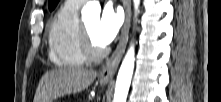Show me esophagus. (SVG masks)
I'll return each instance as SVG.
<instances>
[{
  "instance_id": "34e87169",
  "label": "esophagus",
  "mask_w": 221,
  "mask_h": 102,
  "mask_svg": "<svg viewBox=\"0 0 221 102\" xmlns=\"http://www.w3.org/2000/svg\"><path fill=\"white\" fill-rule=\"evenodd\" d=\"M125 10H126V18L125 23L122 29L121 38L119 44L112 54V56L107 60L105 65L102 67L99 76L102 79H112L115 75L118 65L121 61V58L125 52L126 44L128 41V33L130 28V18H131V2L130 0H125L124 2Z\"/></svg>"
}]
</instances>
